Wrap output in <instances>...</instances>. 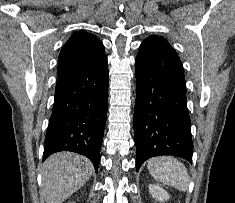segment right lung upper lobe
I'll return each mask as SVG.
<instances>
[{"label": "right lung upper lobe", "instance_id": "obj_1", "mask_svg": "<svg viewBox=\"0 0 235 203\" xmlns=\"http://www.w3.org/2000/svg\"><path fill=\"white\" fill-rule=\"evenodd\" d=\"M105 56L103 43L87 32H76L58 57V80L65 79Z\"/></svg>", "mask_w": 235, "mask_h": 203}]
</instances>
